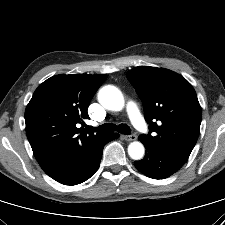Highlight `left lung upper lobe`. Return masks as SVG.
<instances>
[{
    "mask_svg": "<svg viewBox=\"0 0 225 225\" xmlns=\"http://www.w3.org/2000/svg\"><path fill=\"white\" fill-rule=\"evenodd\" d=\"M127 78L143 102L150 129L139 139L187 160L197 142L202 118L192 85L171 70L150 66L130 70Z\"/></svg>",
    "mask_w": 225,
    "mask_h": 225,
    "instance_id": "1",
    "label": "left lung upper lobe"
}]
</instances>
